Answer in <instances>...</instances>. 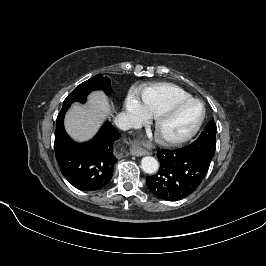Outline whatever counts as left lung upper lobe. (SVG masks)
Segmentation results:
<instances>
[{"mask_svg":"<svg viewBox=\"0 0 266 266\" xmlns=\"http://www.w3.org/2000/svg\"><path fill=\"white\" fill-rule=\"evenodd\" d=\"M216 131V124L214 120H211L199 138L187 146L186 149L210 164L216 148Z\"/></svg>","mask_w":266,"mask_h":266,"instance_id":"left-lung-upper-lobe-1","label":"left lung upper lobe"}]
</instances>
